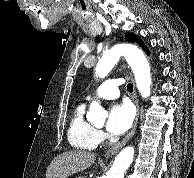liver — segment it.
I'll list each match as a JSON object with an SVG mask.
<instances>
[{
  "label": "liver",
  "instance_id": "6515ba94",
  "mask_svg": "<svg viewBox=\"0 0 194 178\" xmlns=\"http://www.w3.org/2000/svg\"><path fill=\"white\" fill-rule=\"evenodd\" d=\"M96 157L94 153L73 150L58 155L48 166L46 178H68L76 172L90 167Z\"/></svg>",
  "mask_w": 194,
  "mask_h": 178
}]
</instances>
